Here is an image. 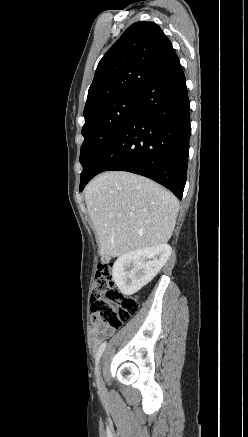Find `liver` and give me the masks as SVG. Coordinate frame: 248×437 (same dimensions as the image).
<instances>
[{"label": "liver", "instance_id": "obj_1", "mask_svg": "<svg viewBox=\"0 0 248 437\" xmlns=\"http://www.w3.org/2000/svg\"><path fill=\"white\" fill-rule=\"evenodd\" d=\"M85 202L102 257L165 244L179 211L177 198L152 180L105 172L85 189Z\"/></svg>", "mask_w": 248, "mask_h": 437}]
</instances>
